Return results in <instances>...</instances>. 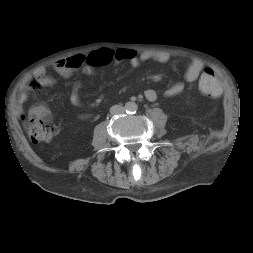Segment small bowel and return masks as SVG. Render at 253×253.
<instances>
[{
  "label": "small bowel",
  "instance_id": "1",
  "mask_svg": "<svg viewBox=\"0 0 253 253\" xmlns=\"http://www.w3.org/2000/svg\"><path fill=\"white\" fill-rule=\"evenodd\" d=\"M127 61L133 69H137L144 62L155 61L158 63H166L169 61V56L163 53L143 52L138 54L133 50L128 49H98L90 52L87 55H75L65 60H60L55 65L57 73L64 77L70 78L76 72H81L85 76H93L98 68L107 66L112 63ZM204 68L203 62L200 59H193L184 72V81L177 82L168 87L164 92V96L171 97L180 94L184 88L185 83H192L198 79ZM83 87V83L76 82L73 85L70 102L74 107L81 105L79 93ZM144 96L148 101H155L157 99V92L154 89H146ZM32 115L49 122L51 120L50 111L44 106H37L31 110ZM89 116L81 114L80 118L85 119Z\"/></svg>",
  "mask_w": 253,
  "mask_h": 253
}]
</instances>
